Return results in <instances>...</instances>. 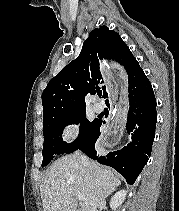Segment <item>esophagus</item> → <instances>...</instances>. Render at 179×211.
Returning <instances> with one entry per match:
<instances>
[{
    "label": "esophagus",
    "instance_id": "obj_1",
    "mask_svg": "<svg viewBox=\"0 0 179 211\" xmlns=\"http://www.w3.org/2000/svg\"><path fill=\"white\" fill-rule=\"evenodd\" d=\"M101 68L106 72L104 79L107 82V87H109L111 119H108L106 133L101 134L99 149H110V145H118V141H122L121 133L125 130L126 109H129L130 101L127 98V93H125L127 83L124 81L127 79V74H124V68L111 67L110 64H102Z\"/></svg>",
    "mask_w": 179,
    "mask_h": 211
}]
</instances>
